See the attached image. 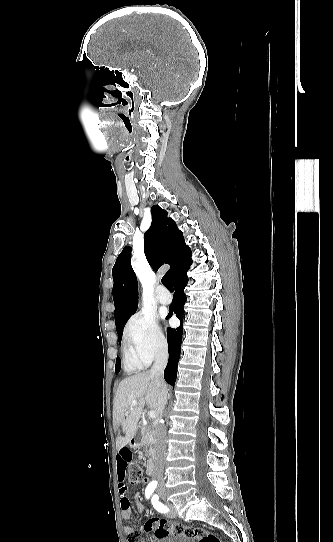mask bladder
I'll use <instances>...</instances> for the list:
<instances>
[{"label": "bladder", "mask_w": 333, "mask_h": 542, "mask_svg": "<svg viewBox=\"0 0 333 542\" xmlns=\"http://www.w3.org/2000/svg\"><path fill=\"white\" fill-rule=\"evenodd\" d=\"M156 542H197L193 538H188L185 535L169 534L160 537Z\"/></svg>", "instance_id": "bladder-1"}]
</instances>
